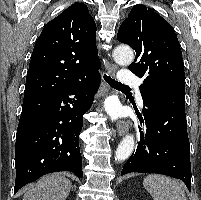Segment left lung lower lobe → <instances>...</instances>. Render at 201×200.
I'll list each match as a JSON object with an SVG mask.
<instances>
[{"instance_id": "1", "label": "left lung lower lobe", "mask_w": 201, "mask_h": 200, "mask_svg": "<svg viewBox=\"0 0 201 200\" xmlns=\"http://www.w3.org/2000/svg\"><path fill=\"white\" fill-rule=\"evenodd\" d=\"M146 129L139 128L136 150L121 175L159 173L181 179L190 190V145L185 114V89L166 87L142 94Z\"/></svg>"}]
</instances>
